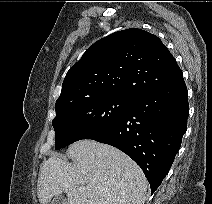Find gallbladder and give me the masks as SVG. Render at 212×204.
<instances>
[{"label": "gallbladder", "mask_w": 212, "mask_h": 204, "mask_svg": "<svg viewBox=\"0 0 212 204\" xmlns=\"http://www.w3.org/2000/svg\"><path fill=\"white\" fill-rule=\"evenodd\" d=\"M51 204H67V201L63 195H56L52 199Z\"/></svg>", "instance_id": "gallbladder-1"}]
</instances>
